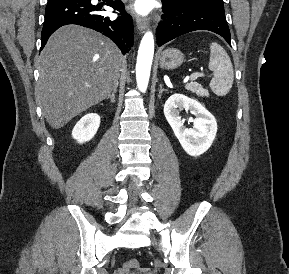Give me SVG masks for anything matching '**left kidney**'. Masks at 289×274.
Instances as JSON below:
<instances>
[{
  "label": "left kidney",
  "mask_w": 289,
  "mask_h": 274,
  "mask_svg": "<svg viewBox=\"0 0 289 274\" xmlns=\"http://www.w3.org/2000/svg\"><path fill=\"white\" fill-rule=\"evenodd\" d=\"M185 109L195 115L193 128H186L180 112ZM164 115L182 148L191 156H200L213 143L217 133L214 116L198 101L182 94L170 96L164 105Z\"/></svg>",
  "instance_id": "left-kidney-1"
}]
</instances>
